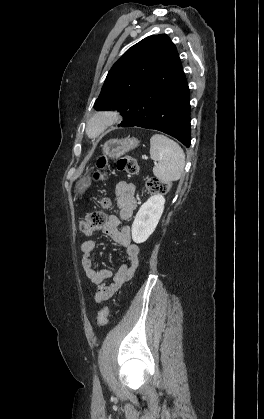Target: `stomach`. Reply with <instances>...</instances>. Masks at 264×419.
<instances>
[{"label": "stomach", "instance_id": "0dacf381", "mask_svg": "<svg viewBox=\"0 0 264 419\" xmlns=\"http://www.w3.org/2000/svg\"><path fill=\"white\" fill-rule=\"evenodd\" d=\"M139 141L136 138L110 139L102 147L103 155L109 158L119 157L126 152L136 148ZM91 185V176L81 177L75 185V193L82 196Z\"/></svg>", "mask_w": 264, "mask_h": 419}]
</instances>
